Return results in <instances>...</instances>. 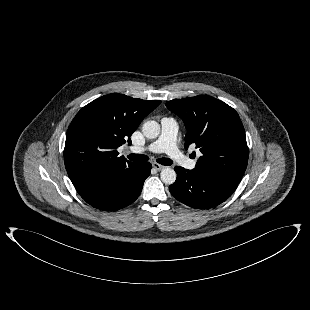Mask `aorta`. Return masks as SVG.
I'll list each match as a JSON object with an SVG mask.
<instances>
[{
  "label": "aorta",
  "mask_w": 310,
  "mask_h": 310,
  "mask_svg": "<svg viewBox=\"0 0 310 310\" xmlns=\"http://www.w3.org/2000/svg\"><path fill=\"white\" fill-rule=\"evenodd\" d=\"M143 135L149 139H155L160 134V125L156 121H147L142 127ZM176 172L172 168H164L160 173V178L164 184L171 185L176 180Z\"/></svg>",
  "instance_id": "762f6f07"
}]
</instances>
